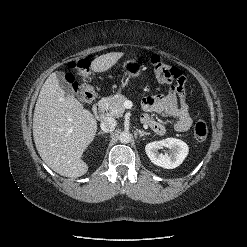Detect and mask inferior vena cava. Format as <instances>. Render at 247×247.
Returning <instances> with one entry per match:
<instances>
[{"label":"inferior vena cava","mask_w":247,"mask_h":247,"mask_svg":"<svg viewBox=\"0 0 247 247\" xmlns=\"http://www.w3.org/2000/svg\"><path fill=\"white\" fill-rule=\"evenodd\" d=\"M117 125V122L112 117H105L100 124V127L102 131L108 133L114 131L115 127Z\"/></svg>","instance_id":"1"}]
</instances>
